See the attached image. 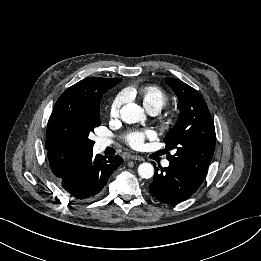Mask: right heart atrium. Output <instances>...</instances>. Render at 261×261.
I'll return each instance as SVG.
<instances>
[{
  "mask_svg": "<svg viewBox=\"0 0 261 261\" xmlns=\"http://www.w3.org/2000/svg\"><path fill=\"white\" fill-rule=\"evenodd\" d=\"M127 99V94L125 91L118 93L111 101L109 106V116L111 118H117L120 114V110Z\"/></svg>",
  "mask_w": 261,
  "mask_h": 261,
  "instance_id": "1",
  "label": "right heart atrium"
}]
</instances>
